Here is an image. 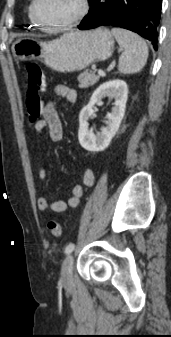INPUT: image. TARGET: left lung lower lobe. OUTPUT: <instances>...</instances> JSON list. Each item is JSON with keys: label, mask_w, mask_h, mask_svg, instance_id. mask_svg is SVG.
<instances>
[{"label": "left lung lower lobe", "mask_w": 171, "mask_h": 337, "mask_svg": "<svg viewBox=\"0 0 171 337\" xmlns=\"http://www.w3.org/2000/svg\"><path fill=\"white\" fill-rule=\"evenodd\" d=\"M78 28L121 27L134 31L152 42L157 50V29L162 0H93Z\"/></svg>", "instance_id": "0a47b994"}]
</instances>
